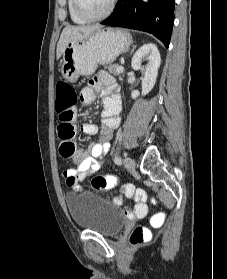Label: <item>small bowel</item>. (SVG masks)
<instances>
[{
    "label": "small bowel",
    "instance_id": "1",
    "mask_svg": "<svg viewBox=\"0 0 227 279\" xmlns=\"http://www.w3.org/2000/svg\"><path fill=\"white\" fill-rule=\"evenodd\" d=\"M99 93H101L103 97L104 106L101 115V137L88 149H79L74 152L72 159L77 163V166L65 169L63 172L66 184L71 189H73V187L68 184L71 177L77 180L79 186L81 182L93 175L100 168L106 154L110 150L113 132L120 124L119 114L121 110V101L119 86L111 75L107 73H98L96 77L82 89L80 101L84 105H92L96 101ZM70 124L76 126L74 118ZM81 130L85 134L94 135L98 132L99 128L95 123L83 122L81 124ZM124 191L129 194L137 191V189L133 185H126L124 186ZM147 211L148 206L145 199L138 198L134 215L136 217H141Z\"/></svg>",
    "mask_w": 227,
    "mask_h": 279
}]
</instances>
